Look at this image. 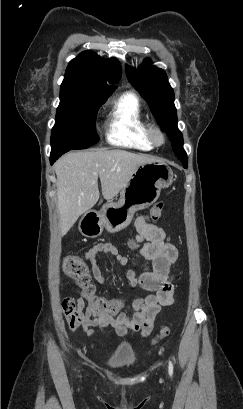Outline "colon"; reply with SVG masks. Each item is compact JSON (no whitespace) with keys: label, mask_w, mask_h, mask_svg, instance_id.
<instances>
[{"label":"colon","mask_w":243,"mask_h":409,"mask_svg":"<svg viewBox=\"0 0 243 409\" xmlns=\"http://www.w3.org/2000/svg\"><path fill=\"white\" fill-rule=\"evenodd\" d=\"M163 208L164 204L162 202L155 203L150 210L151 218L157 220L160 217ZM137 247L138 243L136 241L130 242V248L132 250H135ZM62 269L68 277L77 281L82 289V297L88 300L90 307L106 312H118L123 308V302L121 300L96 296L94 285L91 282L89 268L82 259L66 256L62 262ZM62 308L68 326L72 330L76 329L82 316L77 303L71 297H65L62 301ZM172 329L173 325L163 326L152 340V345L154 346L160 340L168 337L171 334Z\"/></svg>","instance_id":"1"}]
</instances>
